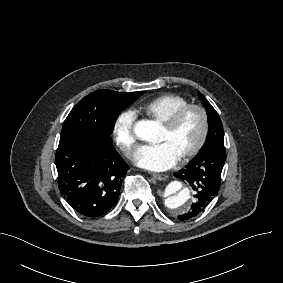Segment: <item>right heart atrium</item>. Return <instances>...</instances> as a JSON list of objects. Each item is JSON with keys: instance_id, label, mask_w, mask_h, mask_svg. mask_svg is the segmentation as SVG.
Here are the masks:
<instances>
[{"instance_id": "obj_1", "label": "right heart atrium", "mask_w": 283, "mask_h": 283, "mask_svg": "<svg viewBox=\"0 0 283 283\" xmlns=\"http://www.w3.org/2000/svg\"><path fill=\"white\" fill-rule=\"evenodd\" d=\"M134 124V112L131 109H124L117 114L111 128V136L115 146L126 157L132 155L136 144Z\"/></svg>"}]
</instances>
